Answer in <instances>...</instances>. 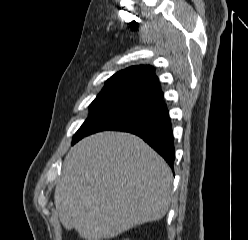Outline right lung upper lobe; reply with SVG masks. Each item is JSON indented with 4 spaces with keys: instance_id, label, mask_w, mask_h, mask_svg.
I'll list each match as a JSON object with an SVG mask.
<instances>
[{
    "instance_id": "cb5924a9",
    "label": "right lung upper lobe",
    "mask_w": 248,
    "mask_h": 240,
    "mask_svg": "<svg viewBox=\"0 0 248 240\" xmlns=\"http://www.w3.org/2000/svg\"><path fill=\"white\" fill-rule=\"evenodd\" d=\"M102 91L132 97L137 101L163 94L153 67L147 65L132 66L117 72L106 81Z\"/></svg>"
}]
</instances>
